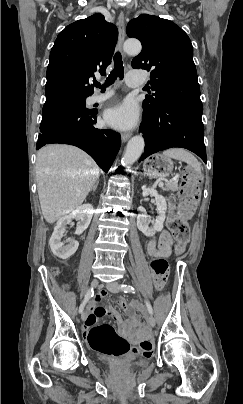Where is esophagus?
<instances>
[{
    "label": "esophagus",
    "instance_id": "esophagus-1",
    "mask_svg": "<svg viewBox=\"0 0 243 404\" xmlns=\"http://www.w3.org/2000/svg\"><path fill=\"white\" fill-rule=\"evenodd\" d=\"M118 30H119L118 47L119 50L122 52V46L125 40V17L122 11L120 12L118 17ZM130 137H131L130 133H123L121 135V140L122 142H126L128 139H130Z\"/></svg>",
    "mask_w": 243,
    "mask_h": 404
}]
</instances>
